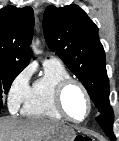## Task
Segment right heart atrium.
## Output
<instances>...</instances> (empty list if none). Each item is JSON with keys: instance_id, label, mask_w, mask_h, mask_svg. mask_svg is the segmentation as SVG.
Masks as SVG:
<instances>
[{"instance_id": "d8ad5b80", "label": "right heart atrium", "mask_w": 119, "mask_h": 141, "mask_svg": "<svg viewBox=\"0 0 119 141\" xmlns=\"http://www.w3.org/2000/svg\"><path fill=\"white\" fill-rule=\"evenodd\" d=\"M33 69L31 66L23 69L12 81L8 91V106L13 112L23 105L30 90V79Z\"/></svg>"}]
</instances>
